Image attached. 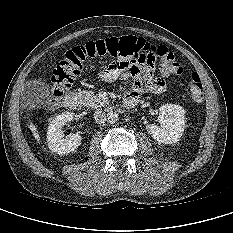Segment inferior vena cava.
Listing matches in <instances>:
<instances>
[{
  "mask_svg": "<svg viewBox=\"0 0 233 233\" xmlns=\"http://www.w3.org/2000/svg\"><path fill=\"white\" fill-rule=\"evenodd\" d=\"M94 119L96 123L104 124L106 121V114L102 110L97 109L94 112Z\"/></svg>",
  "mask_w": 233,
  "mask_h": 233,
  "instance_id": "1",
  "label": "inferior vena cava"
}]
</instances>
